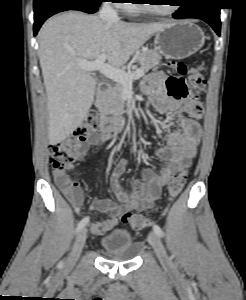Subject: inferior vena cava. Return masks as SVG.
Here are the masks:
<instances>
[{"instance_id":"602c4592","label":"inferior vena cava","mask_w":246,"mask_h":300,"mask_svg":"<svg viewBox=\"0 0 246 300\" xmlns=\"http://www.w3.org/2000/svg\"><path fill=\"white\" fill-rule=\"evenodd\" d=\"M99 18L103 22H117L119 17L117 11L109 4H104L99 12Z\"/></svg>"}]
</instances>
